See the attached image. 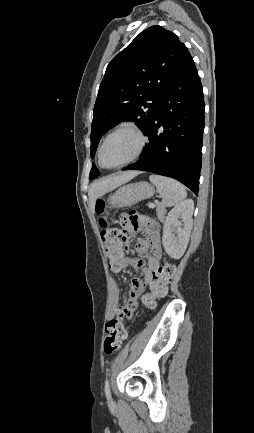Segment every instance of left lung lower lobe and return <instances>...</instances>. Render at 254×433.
I'll use <instances>...</instances> for the list:
<instances>
[{
  "mask_svg": "<svg viewBox=\"0 0 254 433\" xmlns=\"http://www.w3.org/2000/svg\"><path fill=\"white\" fill-rule=\"evenodd\" d=\"M204 95L188 52L167 86L145 134L142 157L123 170L149 171L174 178L195 194L201 170Z\"/></svg>",
  "mask_w": 254,
  "mask_h": 433,
  "instance_id": "obj_1",
  "label": "left lung lower lobe"
}]
</instances>
